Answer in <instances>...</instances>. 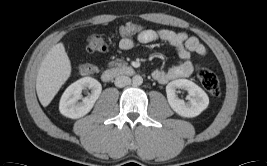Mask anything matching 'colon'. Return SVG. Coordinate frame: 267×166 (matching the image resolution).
Here are the masks:
<instances>
[{
	"instance_id": "1",
	"label": "colon",
	"mask_w": 267,
	"mask_h": 166,
	"mask_svg": "<svg viewBox=\"0 0 267 166\" xmlns=\"http://www.w3.org/2000/svg\"><path fill=\"white\" fill-rule=\"evenodd\" d=\"M140 30L135 22H128L119 25L116 28V35L119 38H126L128 35H135ZM108 47L107 41L99 35H91L86 39V49L90 52L105 51ZM95 72V67L91 64H83L79 68V73L82 75H89ZM197 77L205 90L213 97H219L221 94V86L216 75L206 69L199 68L197 70Z\"/></svg>"
}]
</instances>
